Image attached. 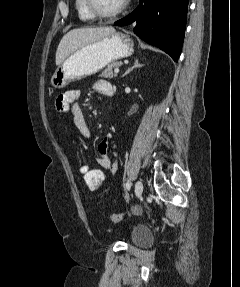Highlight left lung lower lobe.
<instances>
[{
    "mask_svg": "<svg viewBox=\"0 0 240 287\" xmlns=\"http://www.w3.org/2000/svg\"><path fill=\"white\" fill-rule=\"evenodd\" d=\"M187 6L188 0H140L138 7L115 25L136 22L133 31L137 36L177 62L184 39Z\"/></svg>",
    "mask_w": 240,
    "mask_h": 287,
    "instance_id": "0a47b994",
    "label": "left lung lower lobe"
}]
</instances>
